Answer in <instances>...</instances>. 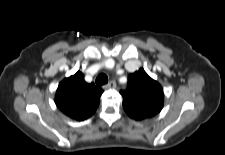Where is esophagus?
<instances>
[{
    "mask_svg": "<svg viewBox=\"0 0 225 155\" xmlns=\"http://www.w3.org/2000/svg\"><path fill=\"white\" fill-rule=\"evenodd\" d=\"M116 86V82L114 80L109 81L105 88H114Z\"/></svg>",
    "mask_w": 225,
    "mask_h": 155,
    "instance_id": "esophagus-1",
    "label": "esophagus"
}]
</instances>
